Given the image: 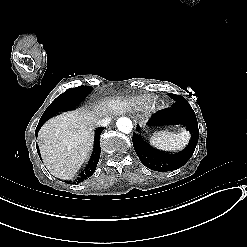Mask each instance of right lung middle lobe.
Returning <instances> with one entry per match:
<instances>
[{
    "label": "right lung middle lobe",
    "instance_id": "right-lung-middle-lobe-1",
    "mask_svg": "<svg viewBox=\"0 0 247 247\" xmlns=\"http://www.w3.org/2000/svg\"><path fill=\"white\" fill-rule=\"evenodd\" d=\"M89 86L70 88L59 95L45 110L42 117H51L56 113L64 110L75 108L91 92Z\"/></svg>",
    "mask_w": 247,
    "mask_h": 247
}]
</instances>
